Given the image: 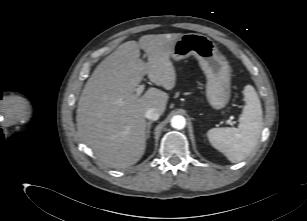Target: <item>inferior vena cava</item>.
<instances>
[{
	"instance_id": "inferior-vena-cava-1",
	"label": "inferior vena cava",
	"mask_w": 307,
	"mask_h": 221,
	"mask_svg": "<svg viewBox=\"0 0 307 221\" xmlns=\"http://www.w3.org/2000/svg\"><path fill=\"white\" fill-rule=\"evenodd\" d=\"M160 115V112L155 108L148 109L144 114L145 118L149 120H158Z\"/></svg>"
}]
</instances>
